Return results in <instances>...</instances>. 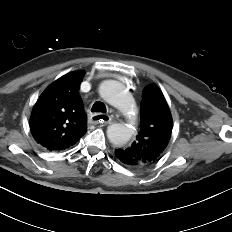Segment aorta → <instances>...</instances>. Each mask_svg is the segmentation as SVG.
<instances>
[{"label":"aorta","mask_w":232,"mask_h":232,"mask_svg":"<svg viewBox=\"0 0 232 232\" xmlns=\"http://www.w3.org/2000/svg\"><path fill=\"white\" fill-rule=\"evenodd\" d=\"M100 96L109 104L118 108L126 116L134 118L136 106L132 96L124 85L115 80L104 81L99 87ZM134 130L124 124H112L107 129V137L116 146H123L132 137Z\"/></svg>","instance_id":"762f6f07"}]
</instances>
